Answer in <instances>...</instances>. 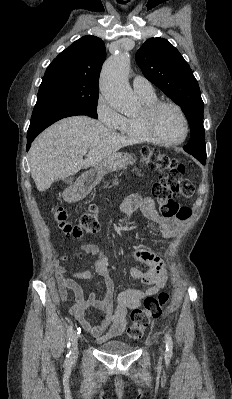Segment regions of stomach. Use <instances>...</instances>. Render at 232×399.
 Here are the masks:
<instances>
[{
    "mask_svg": "<svg viewBox=\"0 0 232 399\" xmlns=\"http://www.w3.org/2000/svg\"><path fill=\"white\" fill-rule=\"evenodd\" d=\"M135 162L136 160L133 158L132 154H124V152H118V154H110V156H106L105 160H103L102 164H100L98 168H93V170H89V172L84 174L83 186L81 190H78L77 192L78 200L83 198L84 192H89V190L98 186L101 180H103L105 174L122 170V168H126V166H132Z\"/></svg>",
    "mask_w": 232,
    "mask_h": 399,
    "instance_id": "0dacf381",
    "label": "stomach"
}]
</instances>
